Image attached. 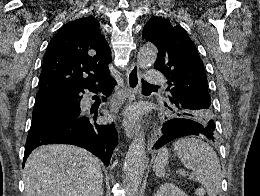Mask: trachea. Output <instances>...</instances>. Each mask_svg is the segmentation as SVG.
Returning a JSON list of instances; mask_svg holds the SVG:
<instances>
[{
	"mask_svg": "<svg viewBox=\"0 0 260 196\" xmlns=\"http://www.w3.org/2000/svg\"><path fill=\"white\" fill-rule=\"evenodd\" d=\"M141 86L143 89L146 88H160L158 85H151L150 83H148L147 81L141 80Z\"/></svg>",
	"mask_w": 260,
	"mask_h": 196,
	"instance_id": "1",
	"label": "trachea"
}]
</instances>
